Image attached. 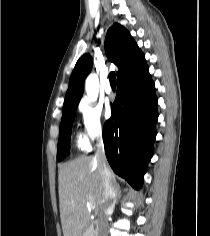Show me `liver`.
Wrapping results in <instances>:
<instances>
[{"label":"liver","mask_w":210,"mask_h":236,"mask_svg":"<svg viewBox=\"0 0 210 236\" xmlns=\"http://www.w3.org/2000/svg\"><path fill=\"white\" fill-rule=\"evenodd\" d=\"M58 182L63 235L82 236L88 225V203L96 210L101 208L102 179L95 158L79 157L65 163L59 169Z\"/></svg>","instance_id":"obj_1"}]
</instances>
